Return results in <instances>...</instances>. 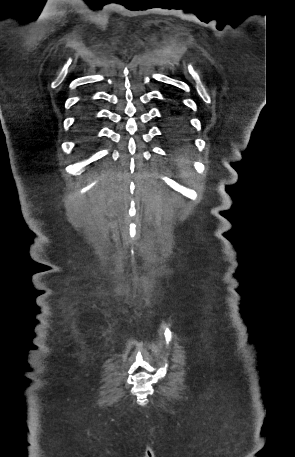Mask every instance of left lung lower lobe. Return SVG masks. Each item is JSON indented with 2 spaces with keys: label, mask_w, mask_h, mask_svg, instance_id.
I'll return each mask as SVG.
<instances>
[{
  "label": "left lung lower lobe",
  "mask_w": 295,
  "mask_h": 457,
  "mask_svg": "<svg viewBox=\"0 0 295 457\" xmlns=\"http://www.w3.org/2000/svg\"><path fill=\"white\" fill-rule=\"evenodd\" d=\"M172 100V96L169 97ZM170 109L166 115L167 118V136L174 145L187 144V123L183 115L177 110V104L170 101Z\"/></svg>",
  "instance_id": "1"
}]
</instances>
